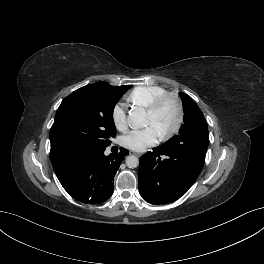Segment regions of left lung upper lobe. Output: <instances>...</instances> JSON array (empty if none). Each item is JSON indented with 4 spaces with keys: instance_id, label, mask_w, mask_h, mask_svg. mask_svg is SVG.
<instances>
[{
    "instance_id": "left-lung-upper-lobe-1",
    "label": "left lung upper lobe",
    "mask_w": 264,
    "mask_h": 264,
    "mask_svg": "<svg viewBox=\"0 0 264 264\" xmlns=\"http://www.w3.org/2000/svg\"><path fill=\"white\" fill-rule=\"evenodd\" d=\"M184 109V124L182 125L179 134L164 145L174 146L184 143L187 138H196L199 134L208 131L206 120L198 105L191 97L183 92L180 93Z\"/></svg>"
}]
</instances>
